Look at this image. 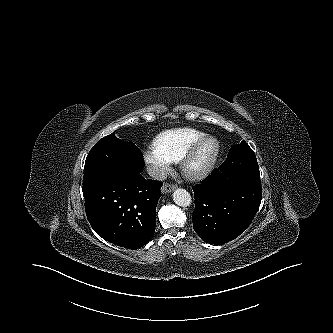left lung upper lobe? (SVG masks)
Instances as JSON below:
<instances>
[{
    "label": "left lung upper lobe",
    "instance_id": "left-lung-upper-lobe-1",
    "mask_svg": "<svg viewBox=\"0 0 333 333\" xmlns=\"http://www.w3.org/2000/svg\"><path fill=\"white\" fill-rule=\"evenodd\" d=\"M241 155H245L246 159H239ZM225 162L230 163L231 168L236 173H243L260 179L256 156L244 140L240 144L232 146Z\"/></svg>",
    "mask_w": 333,
    "mask_h": 333
}]
</instances>
